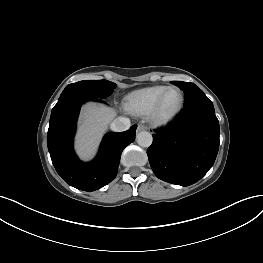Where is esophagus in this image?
<instances>
[{
	"instance_id": "obj_1",
	"label": "esophagus",
	"mask_w": 263,
	"mask_h": 263,
	"mask_svg": "<svg viewBox=\"0 0 263 263\" xmlns=\"http://www.w3.org/2000/svg\"><path fill=\"white\" fill-rule=\"evenodd\" d=\"M146 129H147L146 126H144L143 124H139L138 127H137V132L144 131Z\"/></svg>"
}]
</instances>
